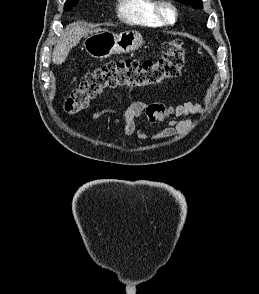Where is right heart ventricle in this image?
<instances>
[{"label":"right heart ventricle","mask_w":259,"mask_h":294,"mask_svg":"<svg viewBox=\"0 0 259 294\" xmlns=\"http://www.w3.org/2000/svg\"><path fill=\"white\" fill-rule=\"evenodd\" d=\"M154 0H118L119 18L128 24L143 27H160L162 24L154 15Z\"/></svg>","instance_id":"1"}]
</instances>
